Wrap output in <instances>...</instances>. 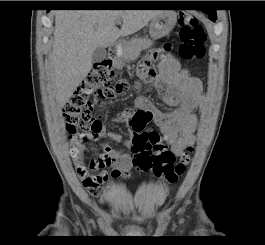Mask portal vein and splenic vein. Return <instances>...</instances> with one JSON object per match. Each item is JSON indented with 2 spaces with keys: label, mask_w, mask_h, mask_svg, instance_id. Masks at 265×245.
Returning <instances> with one entry per match:
<instances>
[{
  "label": "portal vein and splenic vein",
  "mask_w": 265,
  "mask_h": 245,
  "mask_svg": "<svg viewBox=\"0 0 265 245\" xmlns=\"http://www.w3.org/2000/svg\"><path fill=\"white\" fill-rule=\"evenodd\" d=\"M117 24L120 25V24H121V20H118V21H117Z\"/></svg>",
  "instance_id": "18ae733b"
}]
</instances>
